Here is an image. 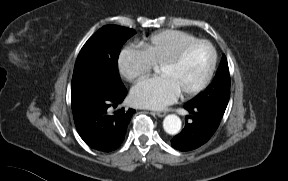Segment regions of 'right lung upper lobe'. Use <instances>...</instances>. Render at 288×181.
<instances>
[{"mask_svg": "<svg viewBox=\"0 0 288 181\" xmlns=\"http://www.w3.org/2000/svg\"><path fill=\"white\" fill-rule=\"evenodd\" d=\"M73 116H74L75 123H77V122L80 121L81 117L83 116V112H79V113H77V114H75Z\"/></svg>", "mask_w": 288, "mask_h": 181, "instance_id": "cb5924a9", "label": "right lung upper lobe"}]
</instances>
